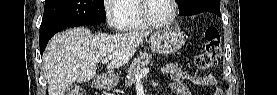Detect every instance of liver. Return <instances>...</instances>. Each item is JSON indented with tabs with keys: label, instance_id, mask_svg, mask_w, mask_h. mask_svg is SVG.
Returning <instances> with one entry per match:
<instances>
[{
	"label": "liver",
	"instance_id": "liver-1",
	"mask_svg": "<svg viewBox=\"0 0 277 95\" xmlns=\"http://www.w3.org/2000/svg\"><path fill=\"white\" fill-rule=\"evenodd\" d=\"M149 32H126L115 35L97 34L78 27L55 35L43 56L47 72L48 95H64L74 82H87L95 77L97 64L110 57L109 71L129 62Z\"/></svg>",
	"mask_w": 277,
	"mask_h": 95
}]
</instances>
